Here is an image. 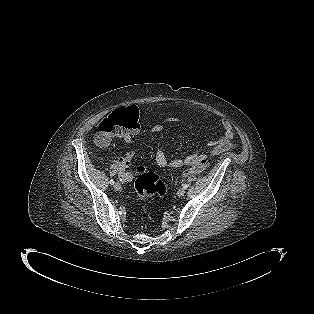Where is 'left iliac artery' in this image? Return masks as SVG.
<instances>
[{
    "label": "left iliac artery",
    "mask_w": 314,
    "mask_h": 314,
    "mask_svg": "<svg viewBox=\"0 0 314 314\" xmlns=\"http://www.w3.org/2000/svg\"><path fill=\"white\" fill-rule=\"evenodd\" d=\"M188 187H189L188 184H184V185H183V188H184V189H187Z\"/></svg>",
    "instance_id": "44dca946"
}]
</instances>
